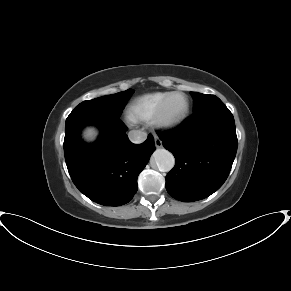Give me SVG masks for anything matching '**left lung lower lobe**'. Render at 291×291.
I'll list each match as a JSON object with an SVG mask.
<instances>
[{
    "instance_id": "1",
    "label": "left lung lower lobe",
    "mask_w": 291,
    "mask_h": 291,
    "mask_svg": "<svg viewBox=\"0 0 291 291\" xmlns=\"http://www.w3.org/2000/svg\"><path fill=\"white\" fill-rule=\"evenodd\" d=\"M159 138L176 159L166 176V189L173 198L201 200L227 179L237 151V136L233 115L223 103L194 114L179 129Z\"/></svg>"
}]
</instances>
